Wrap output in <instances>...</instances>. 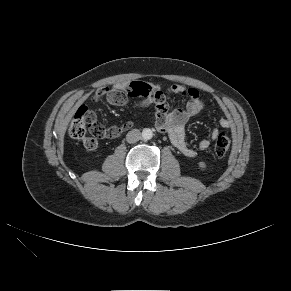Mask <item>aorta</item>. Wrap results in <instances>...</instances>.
Instances as JSON below:
<instances>
[{
  "mask_svg": "<svg viewBox=\"0 0 291 291\" xmlns=\"http://www.w3.org/2000/svg\"><path fill=\"white\" fill-rule=\"evenodd\" d=\"M153 137V131L149 128H144L142 130V138L144 140H150Z\"/></svg>",
  "mask_w": 291,
  "mask_h": 291,
  "instance_id": "obj_1",
  "label": "aorta"
}]
</instances>
